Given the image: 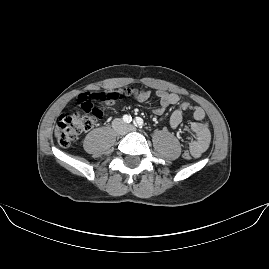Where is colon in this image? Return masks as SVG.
<instances>
[{
	"instance_id": "colon-1",
	"label": "colon",
	"mask_w": 269,
	"mask_h": 269,
	"mask_svg": "<svg viewBox=\"0 0 269 269\" xmlns=\"http://www.w3.org/2000/svg\"><path fill=\"white\" fill-rule=\"evenodd\" d=\"M141 91L136 87H125L119 92L115 90H106L101 93V98L109 103L116 99L128 100L129 95H137ZM90 91H83L79 95V105L84 110L80 113H65L61 115L55 126V136L60 144L70 145L79 135L97 126L100 119L98 108L94 106V101L90 100ZM94 99L100 98L99 92L93 93ZM182 158L189 160L191 154L184 150L181 153Z\"/></svg>"
}]
</instances>
